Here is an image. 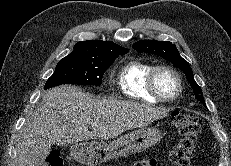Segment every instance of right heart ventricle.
<instances>
[{"instance_id":"e07e8e85","label":"right heart ventricle","mask_w":231,"mask_h":166,"mask_svg":"<svg viewBox=\"0 0 231 166\" xmlns=\"http://www.w3.org/2000/svg\"><path fill=\"white\" fill-rule=\"evenodd\" d=\"M154 65L142 60H131L120 70L118 75V85L121 92L128 98L156 102L148 91L147 79Z\"/></svg>"}]
</instances>
